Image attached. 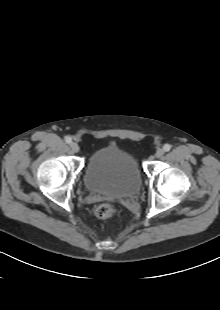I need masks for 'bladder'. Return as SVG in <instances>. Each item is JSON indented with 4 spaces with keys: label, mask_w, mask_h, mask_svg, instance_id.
<instances>
[{
    "label": "bladder",
    "mask_w": 220,
    "mask_h": 310,
    "mask_svg": "<svg viewBox=\"0 0 220 310\" xmlns=\"http://www.w3.org/2000/svg\"><path fill=\"white\" fill-rule=\"evenodd\" d=\"M84 184L93 194L128 198L141 188V173L135 157L115 145L96 149L84 170Z\"/></svg>",
    "instance_id": "1"
}]
</instances>
